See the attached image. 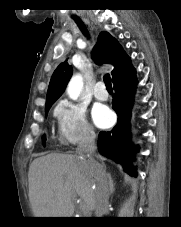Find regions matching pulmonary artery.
Listing matches in <instances>:
<instances>
[{
    "label": "pulmonary artery",
    "instance_id": "obj_1",
    "mask_svg": "<svg viewBox=\"0 0 181 227\" xmlns=\"http://www.w3.org/2000/svg\"><path fill=\"white\" fill-rule=\"evenodd\" d=\"M93 95L99 101H106L108 99V92L102 81L96 83Z\"/></svg>",
    "mask_w": 181,
    "mask_h": 227
}]
</instances>
